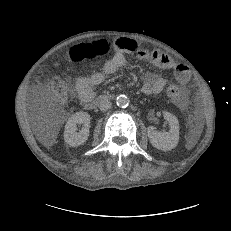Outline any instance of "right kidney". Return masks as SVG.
Masks as SVG:
<instances>
[{
  "label": "right kidney",
  "mask_w": 231,
  "mask_h": 231,
  "mask_svg": "<svg viewBox=\"0 0 231 231\" xmlns=\"http://www.w3.org/2000/svg\"><path fill=\"white\" fill-rule=\"evenodd\" d=\"M77 125L82 128L77 132ZM90 115L87 112H76L65 125L64 140L72 147L84 144L89 137Z\"/></svg>",
  "instance_id": "obj_1"
}]
</instances>
